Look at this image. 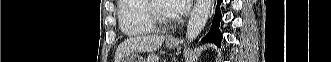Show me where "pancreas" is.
I'll return each instance as SVG.
<instances>
[{
  "mask_svg": "<svg viewBox=\"0 0 331 62\" xmlns=\"http://www.w3.org/2000/svg\"><path fill=\"white\" fill-rule=\"evenodd\" d=\"M158 60H159V56L151 55V56H149L147 62H158Z\"/></svg>",
  "mask_w": 331,
  "mask_h": 62,
  "instance_id": "pancreas-1",
  "label": "pancreas"
}]
</instances>
